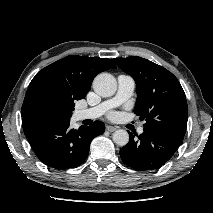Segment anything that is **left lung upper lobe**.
Listing matches in <instances>:
<instances>
[{"label":"left lung upper lobe","instance_id":"left-lung-upper-lobe-1","mask_svg":"<svg viewBox=\"0 0 213 213\" xmlns=\"http://www.w3.org/2000/svg\"><path fill=\"white\" fill-rule=\"evenodd\" d=\"M114 62L136 82L134 113L146 120L144 129L183 140L188 109L177 78L162 66L138 56L115 58Z\"/></svg>","mask_w":213,"mask_h":213}]
</instances>
